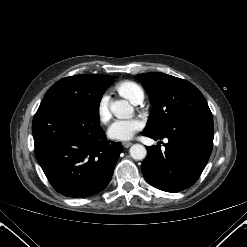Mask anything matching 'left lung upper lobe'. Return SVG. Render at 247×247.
I'll list each match as a JSON object with an SVG mask.
<instances>
[{"label": "left lung upper lobe", "mask_w": 247, "mask_h": 247, "mask_svg": "<svg viewBox=\"0 0 247 247\" xmlns=\"http://www.w3.org/2000/svg\"><path fill=\"white\" fill-rule=\"evenodd\" d=\"M154 107L144 132L164 133L197 115H211L202 93L190 82L164 73L137 75Z\"/></svg>", "instance_id": "obj_1"}]
</instances>
